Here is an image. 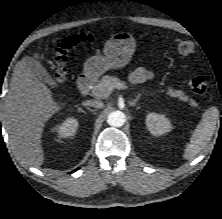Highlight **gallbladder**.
I'll use <instances>...</instances> for the list:
<instances>
[{
  "label": "gallbladder",
  "instance_id": "bac80fb5",
  "mask_svg": "<svg viewBox=\"0 0 222 219\" xmlns=\"http://www.w3.org/2000/svg\"><path fill=\"white\" fill-rule=\"evenodd\" d=\"M29 67L33 71V73L44 83L49 85L51 88H56L57 83L55 80L51 77V75L48 73V71L41 65L40 62H38L35 59H29L27 61Z\"/></svg>",
  "mask_w": 222,
  "mask_h": 219
}]
</instances>
